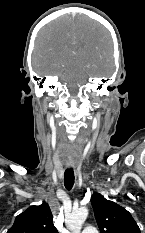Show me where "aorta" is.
Segmentation results:
<instances>
[{
  "label": "aorta",
  "mask_w": 145,
  "mask_h": 233,
  "mask_svg": "<svg viewBox=\"0 0 145 233\" xmlns=\"http://www.w3.org/2000/svg\"><path fill=\"white\" fill-rule=\"evenodd\" d=\"M88 217V209L81 207L72 212V214L66 219V230L64 233H80L82 224Z\"/></svg>",
  "instance_id": "1"
}]
</instances>
